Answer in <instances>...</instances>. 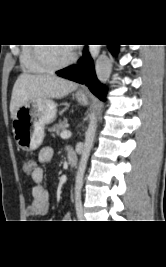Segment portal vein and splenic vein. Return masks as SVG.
Masks as SVG:
<instances>
[{
	"instance_id": "obj_1",
	"label": "portal vein and splenic vein",
	"mask_w": 166,
	"mask_h": 267,
	"mask_svg": "<svg viewBox=\"0 0 166 267\" xmlns=\"http://www.w3.org/2000/svg\"><path fill=\"white\" fill-rule=\"evenodd\" d=\"M60 137H61L62 139H68V138L71 137V132H69V131H63V132L60 134Z\"/></svg>"
}]
</instances>
